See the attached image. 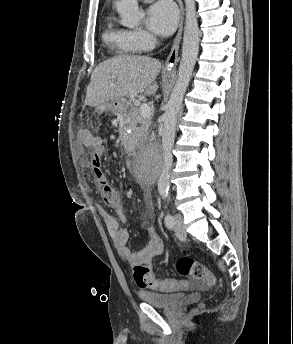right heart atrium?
<instances>
[{
    "mask_svg": "<svg viewBox=\"0 0 293 344\" xmlns=\"http://www.w3.org/2000/svg\"><path fill=\"white\" fill-rule=\"evenodd\" d=\"M129 36L134 46L140 51H146L155 46V38L144 29L130 30Z\"/></svg>",
    "mask_w": 293,
    "mask_h": 344,
    "instance_id": "d8ad5b80",
    "label": "right heart atrium"
}]
</instances>
